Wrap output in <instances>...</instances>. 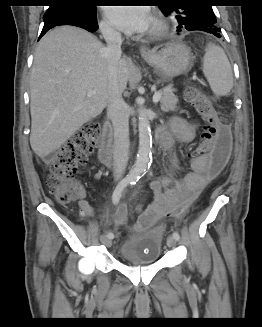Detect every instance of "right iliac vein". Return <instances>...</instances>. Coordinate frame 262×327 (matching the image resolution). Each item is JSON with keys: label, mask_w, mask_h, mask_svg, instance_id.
Segmentation results:
<instances>
[{"label": "right iliac vein", "mask_w": 262, "mask_h": 327, "mask_svg": "<svg viewBox=\"0 0 262 327\" xmlns=\"http://www.w3.org/2000/svg\"><path fill=\"white\" fill-rule=\"evenodd\" d=\"M101 242L106 246V247H111L112 246V239L109 238L106 235H103L101 237Z\"/></svg>", "instance_id": "obj_1"}]
</instances>
